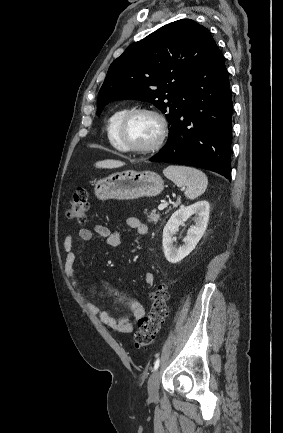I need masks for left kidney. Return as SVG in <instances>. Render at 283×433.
I'll list each match as a JSON object with an SVG mask.
<instances>
[{
	"label": "left kidney",
	"mask_w": 283,
	"mask_h": 433,
	"mask_svg": "<svg viewBox=\"0 0 283 433\" xmlns=\"http://www.w3.org/2000/svg\"><path fill=\"white\" fill-rule=\"evenodd\" d=\"M210 204L208 201H198L190 206L181 207L175 211L163 229V250L166 259L170 263H178L196 247L202 238L209 220ZM196 215V223L192 225L187 236L183 239V245L176 248L173 245L174 235L179 226L192 215Z\"/></svg>",
	"instance_id": "obj_1"
}]
</instances>
